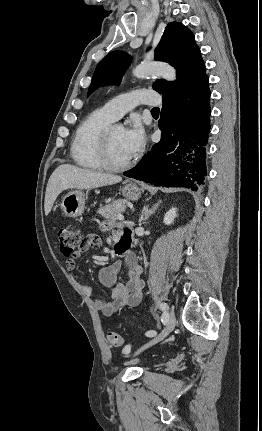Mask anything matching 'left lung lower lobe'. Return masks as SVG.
Returning a JSON list of instances; mask_svg holds the SVG:
<instances>
[{"instance_id": "1", "label": "left lung lower lobe", "mask_w": 262, "mask_h": 431, "mask_svg": "<svg viewBox=\"0 0 262 431\" xmlns=\"http://www.w3.org/2000/svg\"><path fill=\"white\" fill-rule=\"evenodd\" d=\"M210 114L208 77L186 91L163 96L161 141L124 175L155 186L197 191L206 175Z\"/></svg>"}]
</instances>
